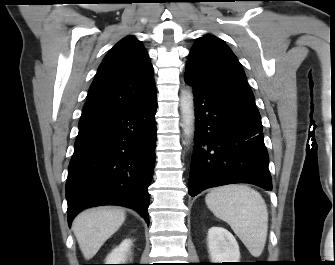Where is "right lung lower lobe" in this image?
<instances>
[{
	"instance_id": "1",
	"label": "right lung lower lobe",
	"mask_w": 335,
	"mask_h": 265,
	"mask_svg": "<svg viewBox=\"0 0 335 265\" xmlns=\"http://www.w3.org/2000/svg\"><path fill=\"white\" fill-rule=\"evenodd\" d=\"M157 99L129 109L81 118L66 182L68 224L83 209L119 205L149 223L156 144Z\"/></svg>"
}]
</instances>
